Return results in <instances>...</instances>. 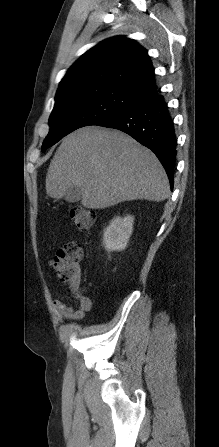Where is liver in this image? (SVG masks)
I'll return each instance as SVG.
<instances>
[{
	"label": "liver",
	"instance_id": "obj_1",
	"mask_svg": "<svg viewBox=\"0 0 219 447\" xmlns=\"http://www.w3.org/2000/svg\"><path fill=\"white\" fill-rule=\"evenodd\" d=\"M73 186L89 209L137 199L160 202L170 195L166 172L149 149L120 131L96 126L67 135L50 163L47 195L61 199Z\"/></svg>",
	"mask_w": 219,
	"mask_h": 447
}]
</instances>
